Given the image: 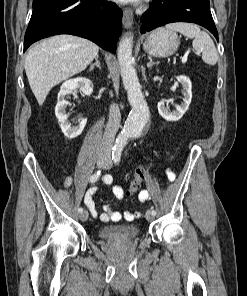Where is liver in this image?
Instances as JSON below:
<instances>
[{"mask_svg": "<svg viewBox=\"0 0 247 296\" xmlns=\"http://www.w3.org/2000/svg\"><path fill=\"white\" fill-rule=\"evenodd\" d=\"M99 47L88 39L57 35L32 47L25 58L29 85L42 105L55 85L85 70Z\"/></svg>", "mask_w": 247, "mask_h": 296, "instance_id": "1", "label": "liver"}]
</instances>
